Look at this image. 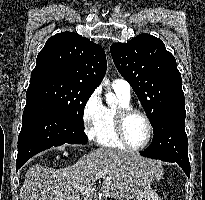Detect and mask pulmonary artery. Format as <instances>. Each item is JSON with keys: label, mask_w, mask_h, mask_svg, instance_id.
Masks as SVG:
<instances>
[{"label": "pulmonary artery", "mask_w": 205, "mask_h": 200, "mask_svg": "<svg viewBox=\"0 0 205 200\" xmlns=\"http://www.w3.org/2000/svg\"><path fill=\"white\" fill-rule=\"evenodd\" d=\"M112 87L114 91L119 92L120 94L130 97L131 95V86L130 84L124 79H115L112 82Z\"/></svg>", "instance_id": "e3ab8cb5"}]
</instances>
